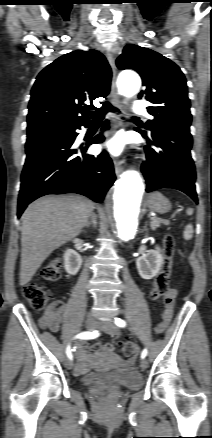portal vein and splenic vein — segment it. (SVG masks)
<instances>
[{
  "mask_svg": "<svg viewBox=\"0 0 212 438\" xmlns=\"http://www.w3.org/2000/svg\"><path fill=\"white\" fill-rule=\"evenodd\" d=\"M158 220L160 221V223H163L165 225L169 224V220H166V219H158Z\"/></svg>",
  "mask_w": 212,
  "mask_h": 438,
  "instance_id": "obj_1",
  "label": "portal vein and splenic vein"
}]
</instances>
